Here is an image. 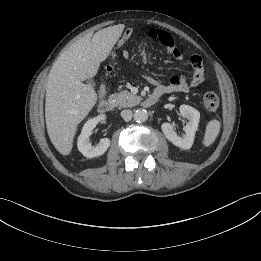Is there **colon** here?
I'll return each instance as SVG.
<instances>
[{"label": "colon", "mask_w": 261, "mask_h": 261, "mask_svg": "<svg viewBox=\"0 0 261 261\" xmlns=\"http://www.w3.org/2000/svg\"><path fill=\"white\" fill-rule=\"evenodd\" d=\"M133 36V31L131 29H126L123 35L117 41V50L121 51L122 46H126L129 40ZM116 60L120 59L119 55L115 56ZM203 105L209 111H215L219 107V97L214 92H206L203 95Z\"/></svg>", "instance_id": "1"}]
</instances>
